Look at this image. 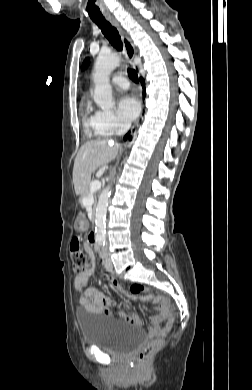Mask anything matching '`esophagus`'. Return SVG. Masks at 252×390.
Returning <instances> with one entry per match:
<instances>
[{
    "label": "esophagus",
    "mask_w": 252,
    "mask_h": 390,
    "mask_svg": "<svg viewBox=\"0 0 252 390\" xmlns=\"http://www.w3.org/2000/svg\"><path fill=\"white\" fill-rule=\"evenodd\" d=\"M106 19L118 30V32L121 36V40L123 43V47H124V51H125V55H126L127 60L130 63V65H132L136 70H138L139 67L135 63L136 50H135L133 43L131 42L129 37L126 35L122 26L120 25V23L118 22V20L115 17L108 15V16H106Z\"/></svg>",
    "instance_id": "34e87169"
}]
</instances>
